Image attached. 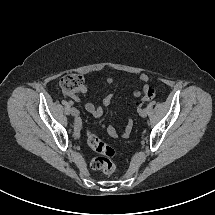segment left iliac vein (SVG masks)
Masks as SVG:
<instances>
[{
    "label": "left iliac vein",
    "instance_id": "1",
    "mask_svg": "<svg viewBox=\"0 0 215 215\" xmlns=\"http://www.w3.org/2000/svg\"><path fill=\"white\" fill-rule=\"evenodd\" d=\"M141 117H146L147 116V110L143 109V113H140Z\"/></svg>",
    "mask_w": 215,
    "mask_h": 215
}]
</instances>
